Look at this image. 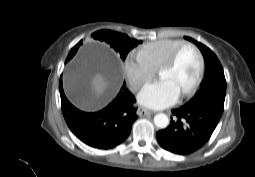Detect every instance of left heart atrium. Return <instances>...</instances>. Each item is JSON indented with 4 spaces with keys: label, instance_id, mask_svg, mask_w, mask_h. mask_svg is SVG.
I'll return each instance as SVG.
<instances>
[{
    "label": "left heart atrium",
    "instance_id": "left-heart-atrium-1",
    "mask_svg": "<svg viewBox=\"0 0 255 177\" xmlns=\"http://www.w3.org/2000/svg\"><path fill=\"white\" fill-rule=\"evenodd\" d=\"M180 95L169 80L160 78L142 87L138 94V101L148 108L163 109L176 103Z\"/></svg>",
    "mask_w": 255,
    "mask_h": 177
}]
</instances>
